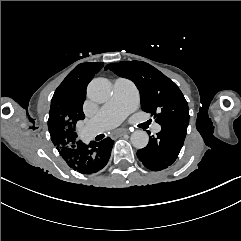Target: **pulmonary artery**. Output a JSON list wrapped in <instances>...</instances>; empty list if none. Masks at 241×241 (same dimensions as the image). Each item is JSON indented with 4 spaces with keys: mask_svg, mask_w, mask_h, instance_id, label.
Wrapping results in <instances>:
<instances>
[{
    "mask_svg": "<svg viewBox=\"0 0 241 241\" xmlns=\"http://www.w3.org/2000/svg\"><path fill=\"white\" fill-rule=\"evenodd\" d=\"M137 100L138 95L132 87V83L126 80L124 84L121 85L119 80H117L114 85L113 97L101 107L100 114L90 119L88 129L92 133L110 130L133 111V104H135ZM150 129L155 133L161 131L162 126L159 123H155Z\"/></svg>",
    "mask_w": 241,
    "mask_h": 241,
    "instance_id": "pulmonary-artery-1",
    "label": "pulmonary artery"
}]
</instances>
